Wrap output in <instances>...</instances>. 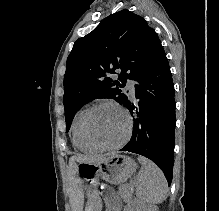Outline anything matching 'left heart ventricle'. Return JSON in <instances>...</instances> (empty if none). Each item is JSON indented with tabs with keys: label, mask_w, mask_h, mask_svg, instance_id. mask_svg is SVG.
<instances>
[{
	"label": "left heart ventricle",
	"mask_w": 219,
	"mask_h": 211,
	"mask_svg": "<svg viewBox=\"0 0 219 211\" xmlns=\"http://www.w3.org/2000/svg\"><path fill=\"white\" fill-rule=\"evenodd\" d=\"M126 127L125 116L111 106H102L95 109L88 124L91 137L102 144L117 143L123 137Z\"/></svg>",
	"instance_id": "1"
}]
</instances>
